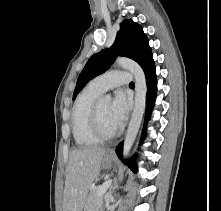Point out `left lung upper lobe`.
<instances>
[{
	"mask_svg": "<svg viewBox=\"0 0 221 211\" xmlns=\"http://www.w3.org/2000/svg\"><path fill=\"white\" fill-rule=\"evenodd\" d=\"M135 60L141 67L152 57L148 39L140 25L131 19L120 24L116 40L110 49L102 50L87 61L80 73L73 93V100L88 81L104 73L116 56Z\"/></svg>",
	"mask_w": 221,
	"mask_h": 211,
	"instance_id": "obj_1",
	"label": "left lung upper lobe"
}]
</instances>
